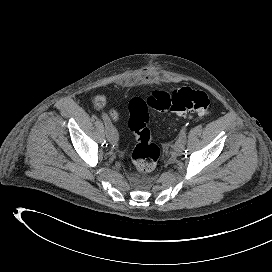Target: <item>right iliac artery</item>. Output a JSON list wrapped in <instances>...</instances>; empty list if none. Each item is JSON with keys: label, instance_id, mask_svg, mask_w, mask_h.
<instances>
[{"label": "right iliac artery", "instance_id": "right-iliac-artery-1", "mask_svg": "<svg viewBox=\"0 0 272 272\" xmlns=\"http://www.w3.org/2000/svg\"><path fill=\"white\" fill-rule=\"evenodd\" d=\"M101 116H102V118H103V120L105 122V125H107V122L110 120L108 115L105 112H102Z\"/></svg>", "mask_w": 272, "mask_h": 272}]
</instances>
